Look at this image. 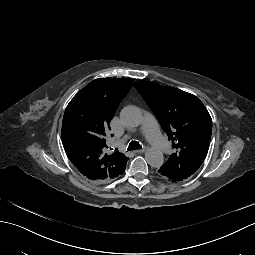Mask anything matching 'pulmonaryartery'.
<instances>
[{
	"instance_id": "1",
	"label": "pulmonary artery",
	"mask_w": 255,
	"mask_h": 255,
	"mask_svg": "<svg viewBox=\"0 0 255 255\" xmlns=\"http://www.w3.org/2000/svg\"><path fill=\"white\" fill-rule=\"evenodd\" d=\"M153 117L154 114L152 112L147 114L145 121L140 125L141 130L145 132L146 137L149 142L154 145L156 151L161 152L170 150L169 142L164 139L162 133L157 128V122ZM166 155L172 156V153L166 152Z\"/></svg>"
}]
</instances>
